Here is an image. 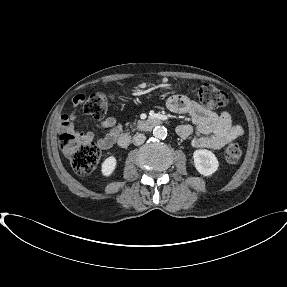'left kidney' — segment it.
<instances>
[{
    "mask_svg": "<svg viewBox=\"0 0 287 287\" xmlns=\"http://www.w3.org/2000/svg\"><path fill=\"white\" fill-rule=\"evenodd\" d=\"M193 159L196 170L204 176L212 175L219 167L216 156L206 149L194 151Z\"/></svg>",
    "mask_w": 287,
    "mask_h": 287,
    "instance_id": "5707ae66",
    "label": "left kidney"
}]
</instances>
